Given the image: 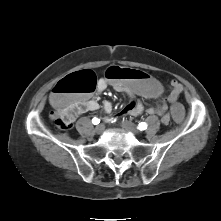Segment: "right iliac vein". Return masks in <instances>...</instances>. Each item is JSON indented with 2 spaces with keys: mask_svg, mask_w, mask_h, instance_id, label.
<instances>
[{
  "mask_svg": "<svg viewBox=\"0 0 221 221\" xmlns=\"http://www.w3.org/2000/svg\"><path fill=\"white\" fill-rule=\"evenodd\" d=\"M104 125L103 124H99V125H97L96 126V128H95V132L97 133V134H101L103 131H104Z\"/></svg>",
  "mask_w": 221,
  "mask_h": 221,
  "instance_id": "right-iliac-vein-1",
  "label": "right iliac vein"
}]
</instances>
